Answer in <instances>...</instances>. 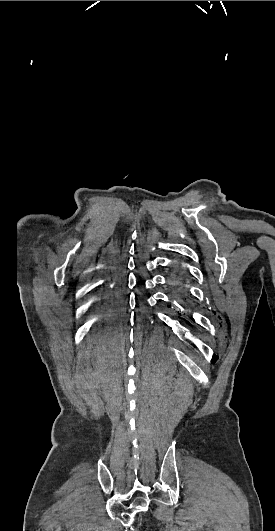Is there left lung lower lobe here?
<instances>
[{"label": "left lung lower lobe", "mask_w": 275, "mask_h": 531, "mask_svg": "<svg viewBox=\"0 0 275 531\" xmlns=\"http://www.w3.org/2000/svg\"><path fill=\"white\" fill-rule=\"evenodd\" d=\"M187 278L188 272L181 269L179 264H176L171 271L168 285L172 291L173 297L178 302L189 299L185 288L182 287L183 282H185Z\"/></svg>", "instance_id": "0a47b994"}]
</instances>
